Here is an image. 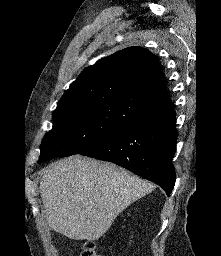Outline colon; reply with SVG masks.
I'll use <instances>...</instances> for the list:
<instances>
[{"instance_id": "obj_1", "label": "colon", "mask_w": 221, "mask_h": 256, "mask_svg": "<svg viewBox=\"0 0 221 256\" xmlns=\"http://www.w3.org/2000/svg\"><path fill=\"white\" fill-rule=\"evenodd\" d=\"M80 256H103V254L96 248V245L87 241L84 243Z\"/></svg>"}]
</instances>
